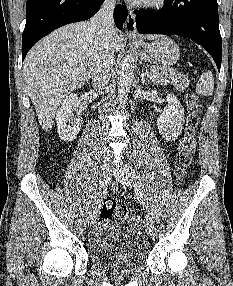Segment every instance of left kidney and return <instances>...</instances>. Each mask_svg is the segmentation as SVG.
Segmentation results:
<instances>
[{
  "mask_svg": "<svg viewBox=\"0 0 233 286\" xmlns=\"http://www.w3.org/2000/svg\"><path fill=\"white\" fill-rule=\"evenodd\" d=\"M184 110L174 95L167 96V105L157 118V126L162 137L174 141L181 133L184 125Z\"/></svg>",
  "mask_w": 233,
  "mask_h": 286,
  "instance_id": "left-kidney-1",
  "label": "left kidney"
}]
</instances>
